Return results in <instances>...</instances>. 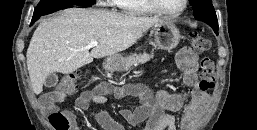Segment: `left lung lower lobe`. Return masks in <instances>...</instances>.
<instances>
[{
	"label": "left lung lower lobe",
	"mask_w": 257,
	"mask_h": 130,
	"mask_svg": "<svg viewBox=\"0 0 257 130\" xmlns=\"http://www.w3.org/2000/svg\"><path fill=\"white\" fill-rule=\"evenodd\" d=\"M215 33L217 34L218 33V29H214Z\"/></svg>",
	"instance_id": "1"
}]
</instances>
